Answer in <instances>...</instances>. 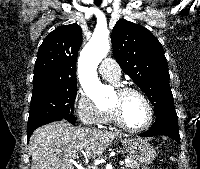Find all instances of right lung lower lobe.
I'll return each mask as SVG.
<instances>
[{
    "instance_id": "98d812e1",
    "label": "right lung lower lobe",
    "mask_w": 200,
    "mask_h": 169,
    "mask_svg": "<svg viewBox=\"0 0 200 169\" xmlns=\"http://www.w3.org/2000/svg\"><path fill=\"white\" fill-rule=\"evenodd\" d=\"M62 119H65V120L69 121L70 123H75V121H76L74 115H72V114L69 116H66V117H45V118H37V119H33L31 121H28V124H27V139H28V141H29L31 134L33 133V131L36 128H38L44 124L54 122V121H59Z\"/></svg>"
}]
</instances>
